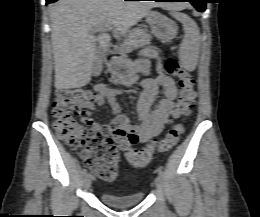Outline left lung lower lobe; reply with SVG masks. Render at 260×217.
<instances>
[{
	"mask_svg": "<svg viewBox=\"0 0 260 217\" xmlns=\"http://www.w3.org/2000/svg\"><path fill=\"white\" fill-rule=\"evenodd\" d=\"M153 1H160V2H182L187 1L192 3V5L199 11L203 12L205 11L206 7L205 4L207 3V0H153Z\"/></svg>",
	"mask_w": 260,
	"mask_h": 217,
	"instance_id": "0a47b994",
	"label": "left lung lower lobe"
}]
</instances>
